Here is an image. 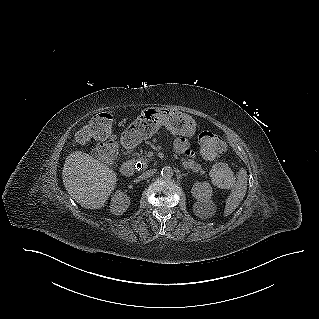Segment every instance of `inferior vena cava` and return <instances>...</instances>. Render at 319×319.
<instances>
[{
    "mask_svg": "<svg viewBox=\"0 0 319 319\" xmlns=\"http://www.w3.org/2000/svg\"><path fill=\"white\" fill-rule=\"evenodd\" d=\"M155 173V170H148L146 172H144L140 177L142 179H146V178H149L150 176H152L153 174Z\"/></svg>",
    "mask_w": 319,
    "mask_h": 319,
    "instance_id": "602c4592",
    "label": "inferior vena cava"
}]
</instances>
